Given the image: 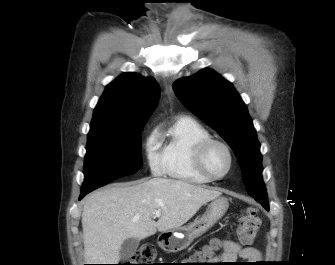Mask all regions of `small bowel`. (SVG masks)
Instances as JSON below:
<instances>
[{"mask_svg":"<svg viewBox=\"0 0 335 265\" xmlns=\"http://www.w3.org/2000/svg\"><path fill=\"white\" fill-rule=\"evenodd\" d=\"M221 248V253L212 259L213 264L233 263L237 259L255 262L261 257L258 249L231 240L222 241Z\"/></svg>","mask_w":335,"mask_h":265,"instance_id":"small-bowel-1","label":"small bowel"}]
</instances>
